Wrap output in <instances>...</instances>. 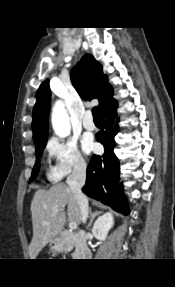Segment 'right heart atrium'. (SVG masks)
Masks as SVG:
<instances>
[{
	"label": "right heart atrium",
	"mask_w": 175,
	"mask_h": 287,
	"mask_svg": "<svg viewBox=\"0 0 175 287\" xmlns=\"http://www.w3.org/2000/svg\"><path fill=\"white\" fill-rule=\"evenodd\" d=\"M51 161L49 178L58 181L72 172L84 171L87 162L78 148L77 142L70 138L52 137L46 145Z\"/></svg>",
	"instance_id": "1"
}]
</instances>
